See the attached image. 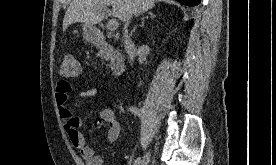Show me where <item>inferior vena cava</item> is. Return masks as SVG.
<instances>
[{"mask_svg": "<svg viewBox=\"0 0 276 165\" xmlns=\"http://www.w3.org/2000/svg\"><path fill=\"white\" fill-rule=\"evenodd\" d=\"M131 16V9L130 6L127 5L126 7V15H125V25H124V34H123V38H124V44H125V48L127 49V52L130 56L131 59H133V45L132 42L128 36V31H127V27H128V22Z\"/></svg>", "mask_w": 276, "mask_h": 165, "instance_id": "obj_1", "label": "inferior vena cava"}]
</instances>
